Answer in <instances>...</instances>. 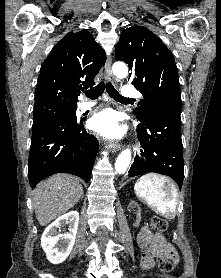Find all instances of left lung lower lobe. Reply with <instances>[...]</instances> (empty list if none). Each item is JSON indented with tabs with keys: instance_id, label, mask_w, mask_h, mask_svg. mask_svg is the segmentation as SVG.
<instances>
[{
	"instance_id": "0a47b994",
	"label": "left lung lower lobe",
	"mask_w": 221,
	"mask_h": 278,
	"mask_svg": "<svg viewBox=\"0 0 221 278\" xmlns=\"http://www.w3.org/2000/svg\"><path fill=\"white\" fill-rule=\"evenodd\" d=\"M140 154L134 159L128 176L156 172L173 178L181 188L184 176L180 115L155 111L139 121Z\"/></svg>"
}]
</instances>
